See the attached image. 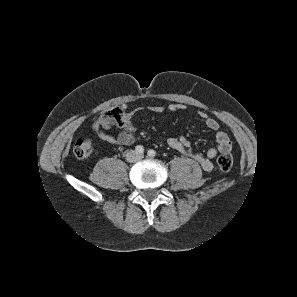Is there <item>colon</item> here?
Wrapping results in <instances>:
<instances>
[{"instance_id":"1","label":"colon","mask_w":297,"mask_h":297,"mask_svg":"<svg viewBox=\"0 0 297 297\" xmlns=\"http://www.w3.org/2000/svg\"><path fill=\"white\" fill-rule=\"evenodd\" d=\"M126 114L119 107H112L104 111L100 116V122L108 125L122 126ZM93 151L92 142L89 139H78L73 146V153L79 159L87 158ZM221 171L227 172L233 166V157L229 152L222 153L217 159Z\"/></svg>"}]
</instances>
